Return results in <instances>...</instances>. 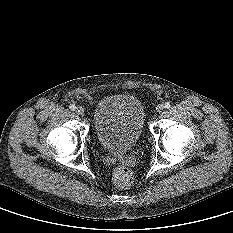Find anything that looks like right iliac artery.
<instances>
[{
	"mask_svg": "<svg viewBox=\"0 0 233 233\" xmlns=\"http://www.w3.org/2000/svg\"><path fill=\"white\" fill-rule=\"evenodd\" d=\"M69 108H70L72 111H74V110L76 109V106H75L74 104H71V105L69 106Z\"/></svg>",
	"mask_w": 233,
	"mask_h": 233,
	"instance_id": "obj_1",
	"label": "right iliac artery"
}]
</instances>
